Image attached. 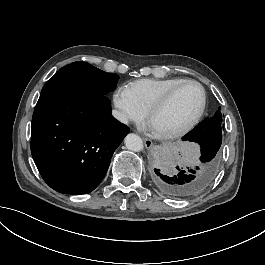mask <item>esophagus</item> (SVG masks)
<instances>
[{
  "label": "esophagus",
  "instance_id": "obj_1",
  "mask_svg": "<svg viewBox=\"0 0 265 265\" xmlns=\"http://www.w3.org/2000/svg\"><path fill=\"white\" fill-rule=\"evenodd\" d=\"M143 140H144L145 147L147 149H150L152 147V145H153L152 140L149 139V138H146V137H144Z\"/></svg>",
  "mask_w": 265,
  "mask_h": 265
}]
</instances>
